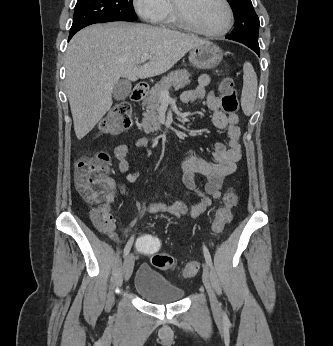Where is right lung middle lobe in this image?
Here are the masks:
<instances>
[{
    "label": "right lung middle lobe",
    "instance_id": "right-lung-middle-lobe-1",
    "mask_svg": "<svg viewBox=\"0 0 333 346\" xmlns=\"http://www.w3.org/2000/svg\"><path fill=\"white\" fill-rule=\"evenodd\" d=\"M135 20L133 0H78L70 33L95 23Z\"/></svg>",
    "mask_w": 333,
    "mask_h": 346
}]
</instances>
